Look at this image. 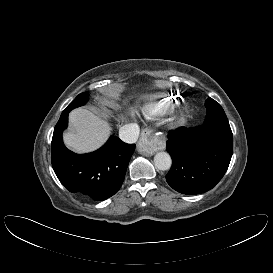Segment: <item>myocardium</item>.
<instances>
[{"instance_id":"obj_1","label":"myocardium","mask_w":273,"mask_h":273,"mask_svg":"<svg viewBox=\"0 0 273 273\" xmlns=\"http://www.w3.org/2000/svg\"><path fill=\"white\" fill-rule=\"evenodd\" d=\"M184 118H185V113L184 112H180L176 118H175V125L178 127V126H181L184 122Z\"/></svg>"}]
</instances>
